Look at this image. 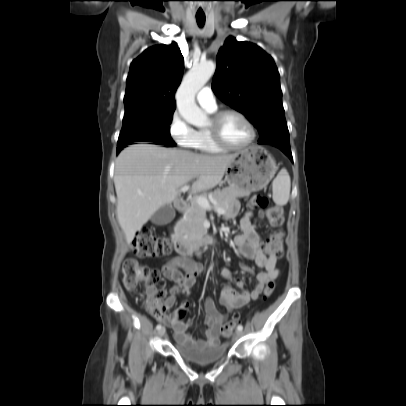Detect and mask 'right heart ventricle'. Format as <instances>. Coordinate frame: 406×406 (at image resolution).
Returning a JSON list of instances; mask_svg holds the SVG:
<instances>
[{"mask_svg":"<svg viewBox=\"0 0 406 406\" xmlns=\"http://www.w3.org/2000/svg\"><path fill=\"white\" fill-rule=\"evenodd\" d=\"M213 111H209V112H213ZM191 147L196 150H199L202 152H207V153H217V152L222 151V148H220L213 142L207 129H201V130L197 131V135H196Z\"/></svg>","mask_w":406,"mask_h":406,"instance_id":"e07e8e85","label":"right heart ventricle"}]
</instances>
